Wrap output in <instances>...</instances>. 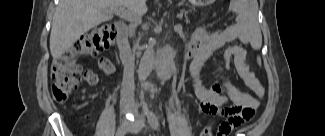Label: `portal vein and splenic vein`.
<instances>
[{
    "mask_svg": "<svg viewBox=\"0 0 325 136\" xmlns=\"http://www.w3.org/2000/svg\"><path fill=\"white\" fill-rule=\"evenodd\" d=\"M114 12L116 15L119 17L128 20L130 22H135V23H140L141 22V17L138 13L131 12V11H126L124 8L120 9H115ZM178 29H182V26L179 24L177 25Z\"/></svg>",
    "mask_w": 325,
    "mask_h": 136,
    "instance_id": "1",
    "label": "portal vein and splenic vein"
}]
</instances>
